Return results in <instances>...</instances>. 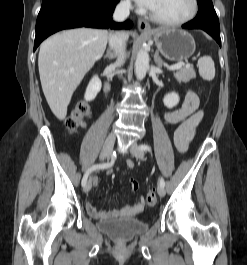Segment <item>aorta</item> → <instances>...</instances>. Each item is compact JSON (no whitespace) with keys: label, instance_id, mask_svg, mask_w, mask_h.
<instances>
[{"label":"aorta","instance_id":"aorta-1","mask_svg":"<svg viewBox=\"0 0 247 265\" xmlns=\"http://www.w3.org/2000/svg\"><path fill=\"white\" fill-rule=\"evenodd\" d=\"M149 68V54L143 47L141 48L136 56L135 60V75L138 80L144 79L147 70Z\"/></svg>","mask_w":247,"mask_h":265}]
</instances>
